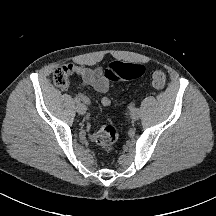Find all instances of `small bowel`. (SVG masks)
<instances>
[{"mask_svg":"<svg viewBox=\"0 0 216 216\" xmlns=\"http://www.w3.org/2000/svg\"><path fill=\"white\" fill-rule=\"evenodd\" d=\"M69 66L72 73L81 80L82 86L91 87L101 93H106L110 89V84L104 78V72L101 67H87L71 64ZM77 97L85 104H90V100L85 94L79 92L77 93ZM100 102L103 106H109L112 100L109 96H103ZM96 132L97 131L90 129V136L92 139H95Z\"/></svg>","mask_w":216,"mask_h":216,"instance_id":"obj_1","label":"small bowel"}]
</instances>
